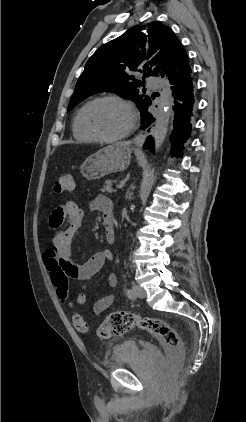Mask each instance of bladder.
Here are the masks:
<instances>
[{
	"label": "bladder",
	"instance_id": "obj_1",
	"mask_svg": "<svg viewBox=\"0 0 246 422\" xmlns=\"http://www.w3.org/2000/svg\"><path fill=\"white\" fill-rule=\"evenodd\" d=\"M141 355V347L134 340H124L115 344L111 348L110 364L114 368H121L137 363ZM151 361L158 369H163L166 365L164 353L159 349L151 351Z\"/></svg>",
	"mask_w": 246,
	"mask_h": 422
}]
</instances>
